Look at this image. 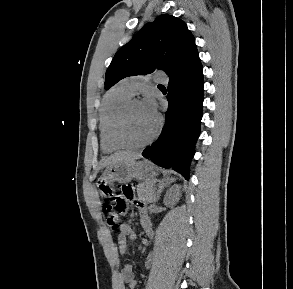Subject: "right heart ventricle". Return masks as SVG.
<instances>
[{
    "label": "right heart ventricle",
    "instance_id": "1",
    "mask_svg": "<svg viewBox=\"0 0 293 289\" xmlns=\"http://www.w3.org/2000/svg\"><path fill=\"white\" fill-rule=\"evenodd\" d=\"M132 96L122 84H119L104 97L99 114V133L101 148L106 153L119 149V146L112 139L113 125L120 109Z\"/></svg>",
    "mask_w": 293,
    "mask_h": 289
}]
</instances>
